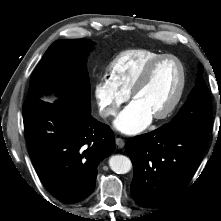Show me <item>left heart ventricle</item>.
<instances>
[{
	"mask_svg": "<svg viewBox=\"0 0 221 221\" xmlns=\"http://www.w3.org/2000/svg\"><path fill=\"white\" fill-rule=\"evenodd\" d=\"M179 82V65L172 59L164 60L154 68L149 81L133 100L141 104L153 117L170 104Z\"/></svg>",
	"mask_w": 221,
	"mask_h": 221,
	"instance_id": "b2bd125f",
	"label": "left heart ventricle"
}]
</instances>
